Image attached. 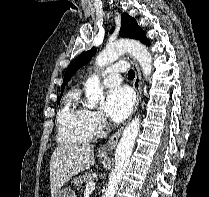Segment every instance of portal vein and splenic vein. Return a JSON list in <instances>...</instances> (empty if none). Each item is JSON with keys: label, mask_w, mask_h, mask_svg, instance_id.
Segmentation results:
<instances>
[{"label": "portal vein and splenic vein", "mask_w": 209, "mask_h": 197, "mask_svg": "<svg viewBox=\"0 0 209 197\" xmlns=\"http://www.w3.org/2000/svg\"><path fill=\"white\" fill-rule=\"evenodd\" d=\"M94 189H95V182L91 180L86 184L85 192H90Z\"/></svg>", "instance_id": "18ae733b"}]
</instances>
